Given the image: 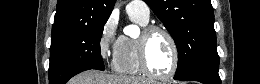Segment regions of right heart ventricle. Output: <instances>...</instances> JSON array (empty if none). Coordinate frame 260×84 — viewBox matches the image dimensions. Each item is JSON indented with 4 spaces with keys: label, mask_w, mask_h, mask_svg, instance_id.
Masks as SVG:
<instances>
[{
    "label": "right heart ventricle",
    "mask_w": 260,
    "mask_h": 84,
    "mask_svg": "<svg viewBox=\"0 0 260 84\" xmlns=\"http://www.w3.org/2000/svg\"><path fill=\"white\" fill-rule=\"evenodd\" d=\"M130 17L139 25L145 26L147 24V22L135 15H130ZM113 69L115 72L124 75H139L143 73L138 59L137 39L127 35L120 36L118 53L113 61Z\"/></svg>",
    "instance_id": "1"
}]
</instances>
